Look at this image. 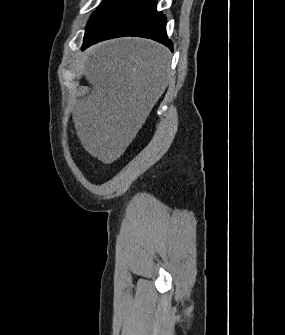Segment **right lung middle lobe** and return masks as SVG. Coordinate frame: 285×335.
<instances>
[{"instance_id":"1","label":"right lung middle lobe","mask_w":285,"mask_h":335,"mask_svg":"<svg viewBox=\"0 0 285 335\" xmlns=\"http://www.w3.org/2000/svg\"><path fill=\"white\" fill-rule=\"evenodd\" d=\"M123 0H103L94 12L92 18L88 21L85 35L110 12H112Z\"/></svg>"}]
</instances>
